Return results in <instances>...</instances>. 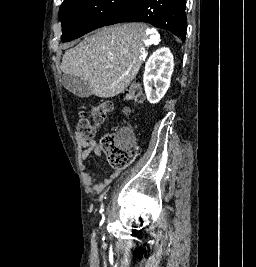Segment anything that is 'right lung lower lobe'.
I'll use <instances>...</instances> for the list:
<instances>
[{
	"label": "right lung lower lobe",
	"mask_w": 256,
	"mask_h": 267,
	"mask_svg": "<svg viewBox=\"0 0 256 267\" xmlns=\"http://www.w3.org/2000/svg\"><path fill=\"white\" fill-rule=\"evenodd\" d=\"M186 0H138L132 10L106 25L120 22H146L166 29L181 38H186Z\"/></svg>",
	"instance_id": "98d812e1"
}]
</instances>
